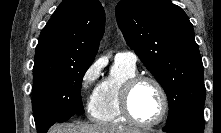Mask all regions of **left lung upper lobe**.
<instances>
[{
  "label": "left lung upper lobe",
  "instance_id": "obj_1",
  "mask_svg": "<svg viewBox=\"0 0 221 133\" xmlns=\"http://www.w3.org/2000/svg\"><path fill=\"white\" fill-rule=\"evenodd\" d=\"M116 19L128 46L166 92V124L203 107V64L185 12L170 0H122Z\"/></svg>",
  "mask_w": 221,
  "mask_h": 133
}]
</instances>
